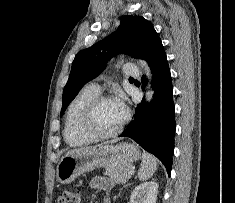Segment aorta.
Returning <instances> with one entry per match:
<instances>
[{"label":"aorta","instance_id":"1","mask_svg":"<svg viewBox=\"0 0 235 203\" xmlns=\"http://www.w3.org/2000/svg\"><path fill=\"white\" fill-rule=\"evenodd\" d=\"M139 65L143 68L147 78L149 80H151L152 75H151V71H150L148 64L143 60H139ZM150 86H151V84L149 83L148 86L146 87V95L145 96H146L147 102H150L153 98V95H154V92L152 90H150Z\"/></svg>","mask_w":235,"mask_h":203}]
</instances>
